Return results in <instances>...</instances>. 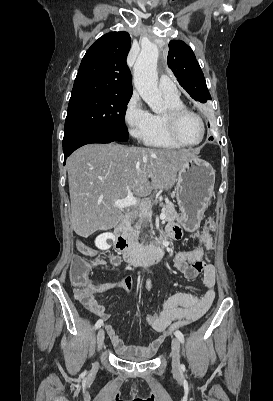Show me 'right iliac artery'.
I'll use <instances>...</instances> for the list:
<instances>
[{"label": "right iliac artery", "instance_id": "1", "mask_svg": "<svg viewBox=\"0 0 273 401\" xmlns=\"http://www.w3.org/2000/svg\"><path fill=\"white\" fill-rule=\"evenodd\" d=\"M102 325H103V320H102V319H99V320L96 322V324H95V329L100 328Z\"/></svg>", "mask_w": 273, "mask_h": 401}]
</instances>
